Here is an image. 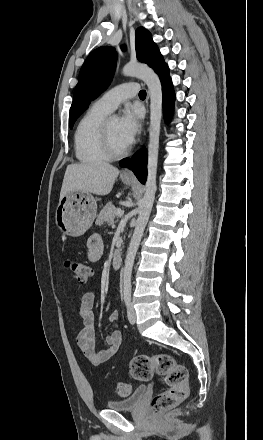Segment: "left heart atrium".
Returning <instances> with one entry per match:
<instances>
[{
    "instance_id": "39dd6f15",
    "label": "left heart atrium",
    "mask_w": 263,
    "mask_h": 440,
    "mask_svg": "<svg viewBox=\"0 0 263 440\" xmlns=\"http://www.w3.org/2000/svg\"><path fill=\"white\" fill-rule=\"evenodd\" d=\"M142 115L137 108H127L119 119V131L126 145H130L140 130Z\"/></svg>"
}]
</instances>
